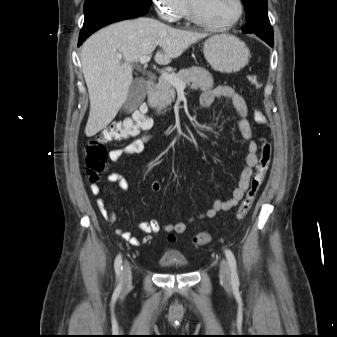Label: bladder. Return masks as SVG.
I'll use <instances>...</instances> for the list:
<instances>
[{
	"label": "bladder",
	"instance_id": "1",
	"mask_svg": "<svg viewBox=\"0 0 337 337\" xmlns=\"http://www.w3.org/2000/svg\"><path fill=\"white\" fill-rule=\"evenodd\" d=\"M159 264L165 269H185L187 267V262L183 256L172 253L164 254L161 257Z\"/></svg>",
	"mask_w": 337,
	"mask_h": 337
}]
</instances>
